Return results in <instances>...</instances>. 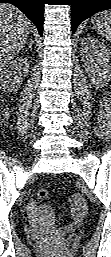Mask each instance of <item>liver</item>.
Segmentation results:
<instances>
[{"mask_svg":"<svg viewBox=\"0 0 111 257\" xmlns=\"http://www.w3.org/2000/svg\"><path fill=\"white\" fill-rule=\"evenodd\" d=\"M30 21L16 7L0 5V65L5 66L24 47Z\"/></svg>","mask_w":111,"mask_h":257,"instance_id":"1","label":"liver"}]
</instances>
